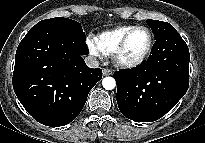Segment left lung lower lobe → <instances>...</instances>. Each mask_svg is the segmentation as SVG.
Listing matches in <instances>:
<instances>
[{
	"label": "left lung lower lobe",
	"instance_id": "1",
	"mask_svg": "<svg viewBox=\"0 0 205 143\" xmlns=\"http://www.w3.org/2000/svg\"><path fill=\"white\" fill-rule=\"evenodd\" d=\"M189 61L187 44L177 31L157 39L147 61L114 73L121 113L138 122L164 116L188 90Z\"/></svg>",
	"mask_w": 205,
	"mask_h": 143
}]
</instances>
